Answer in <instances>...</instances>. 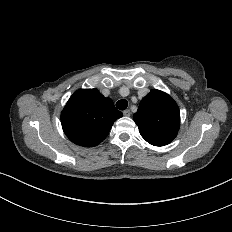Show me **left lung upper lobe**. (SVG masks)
<instances>
[{"instance_id":"5c2ea615","label":"left lung upper lobe","mask_w":232,"mask_h":232,"mask_svg":"<svg viewBox=\"0 0 232 232\" xmlns=\"http://www.w3.org/2000/svg\"><path fill=\"white\" fill-rule=\"evenodd\" d=\"M133 119L142 137L154 146H164L177 135L179 108L166 93L153 89L142 99Z\"/></svg>"}]
</instances>
